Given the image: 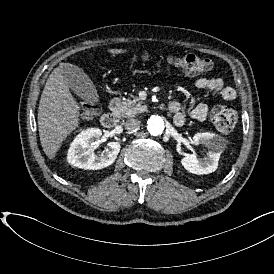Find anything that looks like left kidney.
I'll list each match as a JSON object with an SVG mask.
<instances>
[{"mask_svg": "<svg viewBox=\"0 0 274 274\" xmlns=\"http://www.w3.org/2000/svg\"><path fill=\"white\" fill-rule=\"evenodd\" d=\"M192 143L204 146L207 149L205 158L194 155H186L181 159L185 170L196 175H206L215 172L218 168L220 155L224 149L222 139L215 133H196L192 137Z\"/></svg>", "mask_w": 274, "mask_h": 274, "instance_id": "left-kidney-1", "label": "left kidney"}]
</instances>
